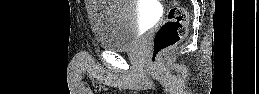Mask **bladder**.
Segmentation results:
<instances>
[{
	"label": "bladder",
	"mask_w": 259,
	"mask_h": 94,
	"mask_svg": "<svg viewBox=\"0 0 259 94\" xmlns=\"http://www.w3.org/2000/svg\"><path fill=\"white\" fill-rule=\"evenodd\" d=\"M88 21L97 44L110 51L132 48L140 36L142 17L132 0H92Z\"/></svg>",
	"instance_id": "1"
}]
</instances>
